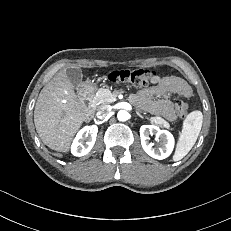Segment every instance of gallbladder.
Returning <instances> with one entry per match:
<instances>
[{
	"label": "gallbladder",
	"instance_id": "1",
	"mask_svg": "<svg viewBox=\"0 0 231 231\" xmlns=\"http://www.w3.org/2000/svg\"><path fill=\"white\" fill-rule=\"evenodd\" d=\"M66 75L69 81L71 82V84L73 85V87L78 88L82 82V77H83L81 69L80 68H68L66 70Z\"/></svg>",
	"mask_w": 231,
	"mask_h": 231
}]
</instances>
